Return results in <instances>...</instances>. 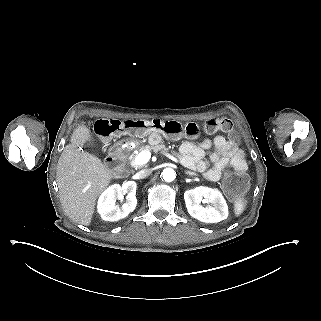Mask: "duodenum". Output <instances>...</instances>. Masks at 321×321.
Instances as JSON below:
<instances>
[{"label":"duodenum","instance_id":"duodenum-1","mask_svg":"<svg viewBox=\"0 0 321 321\" xmlns=\"http://www.w3.org/2000/svg\"><path fill=\"white\" fill-rule=\"evenodd\" d=\"M125 158V150L121 146H114L106 158V165L110 169L121 170Z\"/></svg>","mask_w":321,"mask_h":321}]
</instances>
